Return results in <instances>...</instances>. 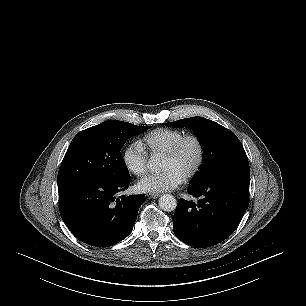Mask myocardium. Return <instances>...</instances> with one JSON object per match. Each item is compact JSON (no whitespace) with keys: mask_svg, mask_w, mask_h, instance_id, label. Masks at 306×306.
<instances>
[{"mask_svg":"<svg viewBox=\"0 0 306 306\" xmlns=\"http://www.w3.org/2000/svg\"><path fill=\"white\" fill-rule=\"evenodd\" d=\"M187 141H193L198 149V157L195 166L193 169L185 176L184 181H189L193 179L201 170L204 158H205V148L203 145L202 140L195 134H185L180 139H178L164 154V157L173 158L175 157L179 151L181 150L182 146Z\"/></svg>","mask_w":306,"mask_h":306,"instance_id":"f54148a6","label":"myocardium"}]
</instances>
